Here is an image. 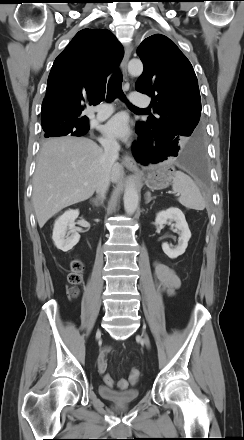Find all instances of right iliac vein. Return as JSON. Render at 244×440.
<instances>
[{
	"label": "right iliac vein",
	"mask_w": 244,
	"mask_h": 440,
	"mask_svg": "<svg viewBox=\"0 0 244 440\" xmlns=\"http://www.w3.org/2000/svg\"><path fill=\"white\" fill-rule=\"evenodd\" d=\"M100 334H101V331H100V330H98V331H97V335H100Z\"/></svg>",
	"instance_id": "1"
}]
</instances>
